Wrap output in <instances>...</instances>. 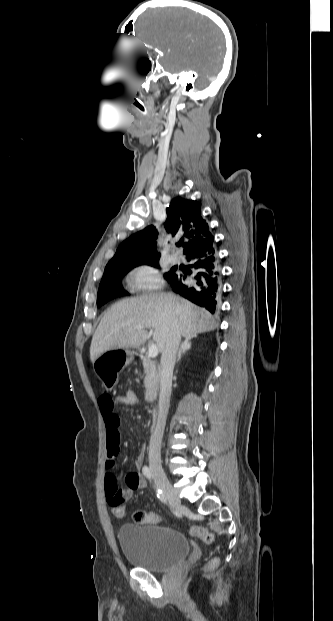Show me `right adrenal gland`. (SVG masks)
Returning a JSON list of instances; mask_svg holds the SVG:
<instances>
[{
	"label": "right adrenal gland",
	"instance_id": "right-adrenal-gland-1",
	"mask_svg": "<svg viewBox=\"0 0 333 621\" xmlns=\"http://www.w3.org/2000/svg\"><path fill=\"white\" fill-rule=\"evenodd\" d=\"M192 338H193V337H186V338L184 339V341H183V343L181 344V347H180V349H179V351H178L176 362H179V361H180V359H181V357H182V355H183V354H184L187 350L191 349V345H192V344H191V339H192Z\"/></svg>",
	"mask_w": 333,
	"mask_h": 621
}]
</instances>
